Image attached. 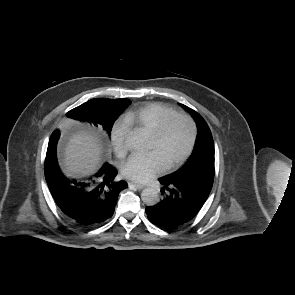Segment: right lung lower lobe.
<instances>
[{
  "label": "right lung lower lobe",
  "instance_id": "right-lung-lower-lobe-1",
  "mask_svg": "<svg viewBox=\"0 0 295 295\" xmlns=\"http://www.w3.org/2000/svg\"><path fill=\"white\" fill-rule=\"evenodd\" d=\"M59 132L52 133L46 159L56 155ZM117 170L105 163L93 178L77 182L62 173L46 179L51 194L62 212L75 225L94 227L113 215L119 193L128 187L123 180L115 179Z\"/></svg>",
  "mask_w": 295,
  "mask_h": 295
}]
</instances>
